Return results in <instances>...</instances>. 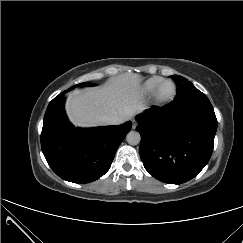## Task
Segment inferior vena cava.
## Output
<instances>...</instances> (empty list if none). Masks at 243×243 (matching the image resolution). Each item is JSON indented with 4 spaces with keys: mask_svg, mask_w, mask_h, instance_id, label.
Wrapping results in <instances>:
<instances>
[{
    "mask_svg": "<svg viewBox=\"0 0 243 243\" xmlns=\"http://www.w3.org/2000/svg\"><path fill=\"white\" fill-rule=\"evenodd\" d=\"M105 121L109 125H118L124 122V118L120 116H109Z\"/></svg>",
    "mask_w": 243,
    "mask_h": 243,
    "instance_id": "obj_1",
    "label": "inferior vena cava"
}]
</instances>
